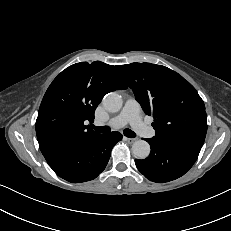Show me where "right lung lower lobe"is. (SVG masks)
I'll use <instances>...</instances> for the list:
<instances>
[{"mask_svg": "<svg viewBox=\"0 0 231 231\" xmlns=\"http://www.w3.org/2000/svg\"><path fill=\"white\" fill-rule=\"evenodd\" d=\"M121 139L119 132L99 134L81 147L64 151L46 160L58 176L69 182L89 181L105 169L113 146Z\"/></svg>", "mask_w": 231, "mask_h": 231, "instance_id": "obj_1", "label": "right lung lower lobe"}]
</instances>
